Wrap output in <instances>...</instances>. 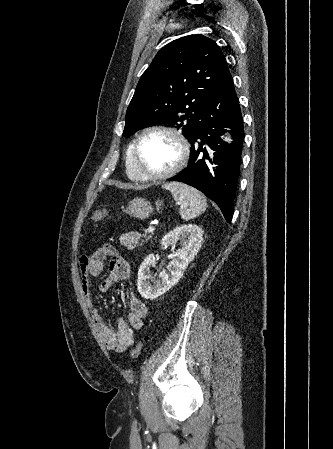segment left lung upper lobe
<instances>
[{
  "label": "left lung upper lobe",
  "mask_w": 333,
  "mask_h": 449,
  "mask_svg": "<svg viewBox=\"0 0 333 449\" xmlns=\"http://www.w3.org/2000/svg\"><path fill=\"white\" fill-rule=\"evenodd\" d=\"M229 78L226 59L212 39L197 34L170 42L140 78L123 136L161 122L191 141L209 100Z\"/></svg>",
  "instance_id": "1"
}]
</instances>
